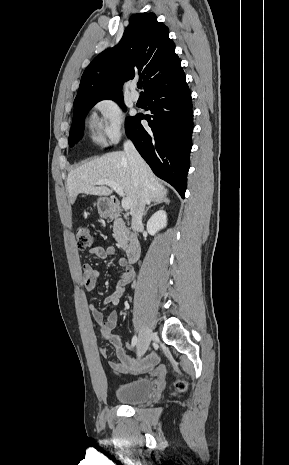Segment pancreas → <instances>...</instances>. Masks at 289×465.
I'll return each instance as SVG.
<instances>
[{
  "label": "pancreas",
  "instance_id": "cf45deb5",
  "mask_svg": "<svg viewBox=\"0 0 289 465\" xmlns=\"http://www.w3.org/2000/svg\"><path fill=\"white\" fill-rule=\"evenodd\" d=\"M113 237L117 241L118 246L125 249L128 244V232L125 228L124 222L117 219L114 221L113 225Z\"/></svg>",
  "mask_w": 289,
  "mask_h": 465
}]
</instances>
